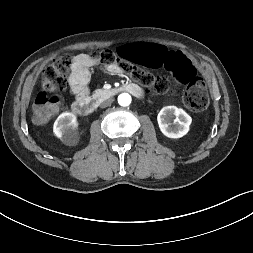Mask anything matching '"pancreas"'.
<instances>
[{"label": "pancreas", "mask_w": 253, "mask_h": 253, "mask_svg": "<svg viewBox=\"0 0 253 253\" xmlns=\"http://www.w3.org/2000/svg\"><path fill=\"white\" fill-rule=\"evenodd\" d=\"M102 92H106V90L98 89V90L94 91V96H95V97H99V95H100Z\"/></svg>", "instance_id": "obj_1"}]
</instances>
